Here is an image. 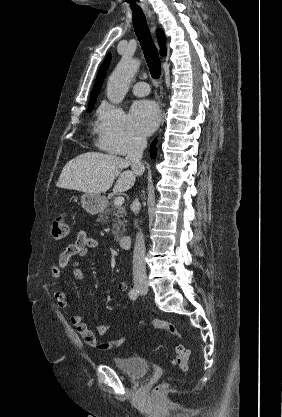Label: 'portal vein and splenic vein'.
Masks as SVG:
<instances>
[{"label": "portal vein and splenic vein", "mask_w": 282, "mask_h": 417, "mask_svg": "<svg viewBox=\"0 0 282 417\" xmlns=\"http://www.w3.org/2000/svg\"><path fill=\"white\" fill-rule=\"evenodd\" d=\"M124 202V196H116V198H114V204H123Z\"/></svg>", "instance_id": "18ae733b"}]
</instances>
